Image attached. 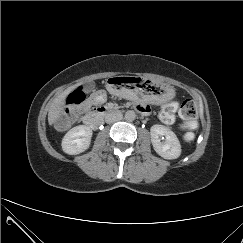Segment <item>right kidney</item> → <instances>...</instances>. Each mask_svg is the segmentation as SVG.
<instances>
[{"label":"right kidney","mask_w":243,"mask_h":243,"mask_svg":"<svg viewBox=\"0 0 243 243\" xmlns=\"http://www.w3.org/2000/svg\"><path fill=\"white\" fill-rule=\"evenodd\" d=\"M92 137V130L79 125L70 129L62 139V149L69 155H77L89 148Z\"/></svg>","instance_id":"1"}]
</instances>
